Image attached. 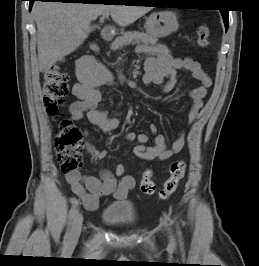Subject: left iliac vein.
<instances>
[{"label": "left iliac vein", "instance_id": "left-iliac-vein-1", "mask_svg": "<svg viewBox=\"0 0 259 266\" xmlns=\"http://www.w3.org/2000/svg\"><path fill=\"white\" fill-rule=\"evenodd\" d=\"M169 241H170L171 244H174V238H173V236L171 234L169 236Z\"/></svg>", "mask_w": 259, "mask_h": 266}]
</instances>
